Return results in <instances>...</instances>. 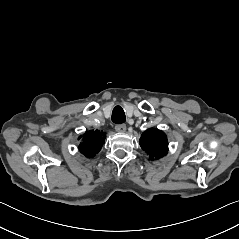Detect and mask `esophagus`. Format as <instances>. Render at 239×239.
Returning <instances> with one entry per match:
<instances>
[{
	"instance_id": "esophagus-1",
	"label": "esophagus",
	"mask_w": 239,
	"mask_h": 239,
	"mask_svg": "<svg viewBox=\"0 0 239 239\" xmlns=\"http://www.w3.org/2000/svg\"><path fill=\"white\" fill-rule=\"evenodd\" d=\"M115 130L118 132H125L126 131V125L125 124H117L115 126Z\"/></svg>"
}]
</instances>
